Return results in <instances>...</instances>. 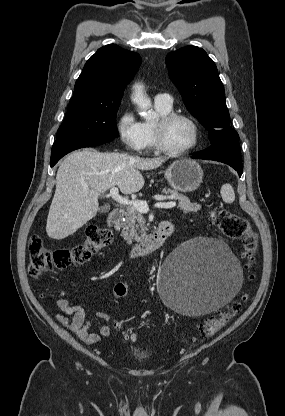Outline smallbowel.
I'll return each instance as SVG.
<instances>
[{"mask_svg": "<svg viewBox=\"0 0 285 416\" xmlns=\"http://www.w3.org/2000/svg\"><path fill=\"white\" fill-rule=\"evenodd\" d=\"M55 303L57 308L64 314H56L55 318L85 343L93 344L100 342L111 334L112 328L108 313L104 311L96 313V318L102 320L103 323L98 325L97 333H90L89 329L94 321L87 318L85 310L81 306L72 305L65 298H58ZM65 315L71 316V319H68Z\"/></svg>", "mask_w": 285, "mask_h": 416, "instance_id": "c3829d8e", "label": "small bowel"}]
</instances>
